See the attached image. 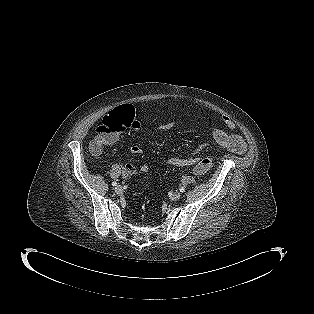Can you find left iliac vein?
I'll return each instance as SVG.
<instances>
[{"label": "left iliac vein", "instance_id": "1", "mask_svg": "<svg viewBox=\"0 0 314 314\" xmlns=\"http://www.w3.org/2000/svg\"><path fill=\"white\" fill-rule=\"evenodd\" d=\"M170 198L172 200H178V199L181 198V193L180 192H175V193L171 194Z\"/></svg>", "mask_w": 314, "mask_h": 314}]
</instances>
